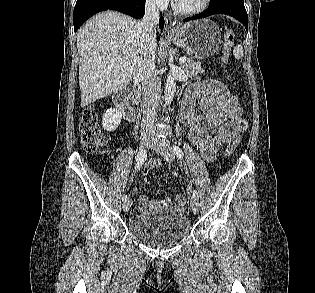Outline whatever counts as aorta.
Here are the masks:
<instances>
[{"label": "aorta", "mask_w": 315, "mask_h": 293, "mask_svg": "<svg viewBox=\"0 0 315 293\" xmlns=\"http://www.w3.org/2000/svg\"><path fill=\"white\" fill-rule=\"evenodd\" d=\"M175 90H176V83L175 79L172 76V74H168L167 80H166V85H165V103L170 104L174 98L175 95Z\"/></svg>", "instance_id": "obj_1"}]
</instances>
